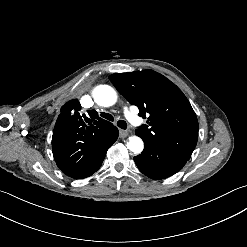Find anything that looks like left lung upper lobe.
<instances>
[{"label":"left lung upper lobe","mask_w":247,"mask_h":247,"mask_svg":"<svg viewBox=\"0 0 247 247\" xmlns=\"http://www.w3.org/2000/svg\"><path fill=\"white\" fill-rule=\"evenodd\" d=\"M110 81L121 95L148 116L135 133L159 148L189 160L198 140V121L182 91L153 70L112 74Z\"/></svg>","instance_id":"1"}]
</instances>
